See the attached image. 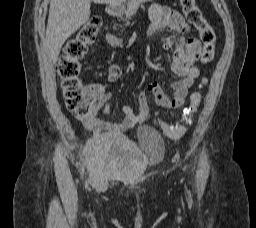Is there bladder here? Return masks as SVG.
I'll use <instances>...</instances> for the list:
<instances>
[{
  "mask_svg": "<svg viewBox=\"0 0 256 228\" xmlns=\"http://www.w3.org/2000/svg\"><path fill=\"white\" fill-rule=\"evenodd\" d=\"M140 139L141 146L124 136L92 138L86 144L88 164L95 174L105 179L140 176L165 152L164 140L158 131L142 128Z\"/></svg>",
  "mask_w": 256,
  "mask_h": 228,
  "instance_id": "1",
  "label": "bladder"
}]
</instances>
